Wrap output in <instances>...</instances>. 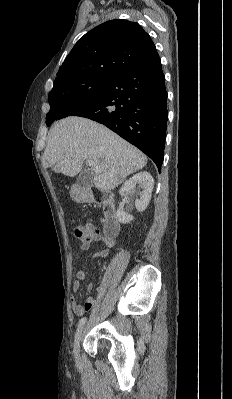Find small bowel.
Here are the masks:
<instances>
[{"label": "small bowel", "instance_id": "c3829d8e", "mask_svg": "<svg viewBox=\"0 0 232 399\" xmlns=\"http://www.w3.org/2000/svg\"><path fill=\"white\" fill-rule=\"evenodd\" d=\"M113 246L112 242H106L102 248H100L96 253L91 255V258H102L106 256L108 249ZM91 248L90 242H83L81 244V249L83 251H88ZM78 280L74 281L72 284L73 294L70 297V312L72 316H82L87 310L93 306V300L91 298L87 299L83 304L79 303V291L80 282L86 278V273L84 270H79L77 272ZM93 289V283L88 282L86 286V291L91 292Z\"/></svg>", "mask_w": 232, "mask_h": 399}]
</instances>
